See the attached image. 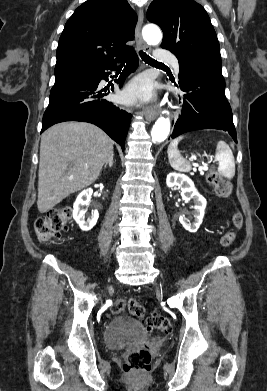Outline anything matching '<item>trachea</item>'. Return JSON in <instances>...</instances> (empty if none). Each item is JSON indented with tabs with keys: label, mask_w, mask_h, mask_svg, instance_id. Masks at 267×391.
<instances>
[{
	"label": "trachea",
	"mask_w": 267,
	"mask_h": 391,
	"mask_svg": "<svg viewBox=\"0 0 267 391\" xmlns=\"http://www.w3.org/2000/svg\"><path fill=\"white\" fill-rule=\"evenodd\" d=\"M139 53H140V56H141L142 60H143L145 63H147V64H149V65H152V66H164L163 63L158 62V61L152 59L149 55H147V54L144 53L143 51H140Z\"/></svg>",
	"instance_id": "3493384b"
}]
</instances>
